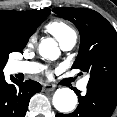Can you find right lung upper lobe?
Here are the masks:
<instances>
[{"label":"right lung upper lobe","mask_w":117,"mask_h":117,"mask_svg":"<svg viewBox=\"0 0 117 117\" xmlns=\"http://www.w3.org/2000/svg\"><path fill=\"white\" fill-rule=\"evenodd\" d=\"M50 9L44 8L31 11L0 10V29L10 31L14 38L16 52L23 50L30 36L49 15ZM7 59L0 53V79L4 78L3 68Z\"/></svg>","instance_id":"obj_1"}]
</instances>
